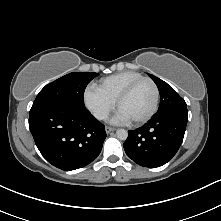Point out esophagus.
<instances>
[{"label": "esophagus", "instance_id": "obj_1", "mask_svg": "<svg viewBox=\"0 0 221 221\" xmlns=\"http://www.w3.org/2000/svg\"><path fill=\"white\" fill-rule=\"evenodd\" d=\"M105 131H106V133H110V132L115 131V128H112V127L106 126V127H105Z\"/></svg>", "mask_w": 221, "mask_h": 221}]
</instances>
